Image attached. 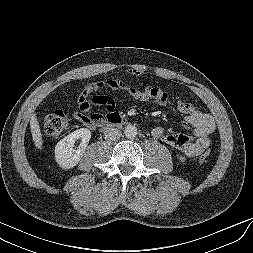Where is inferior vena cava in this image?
<instances>
[{"label": "inferior vena cava", "mask_w": 253, "mask_h": 253, "mask_svg": "<svg viewBox=\"0 0 253 253\" xmlns=\"http://www.w3.org/2000/svg\"><path fill=\"white\" fill-rule=\"evenodd\" d=\"M104 136L106 140L116 141L121 138L122 133L117 128H107L104 131Z\"/></svg>", "instance_id": "602c4592"}]
</instances>
